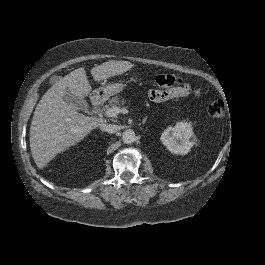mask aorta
I'll return each mask as SVG.
<instances>
[{
    "instance_id": "obj_1",
    "label": "aorta",
    "mask_w": 265,
    "mask_h": 265,
    "mask_svg": "<svg viewBox=\"0 0 265 265\" xmlns=\"http://www.w3.org/2000/svg\"><path fill=\"white\" fill-rule=\"evenodd\" d=\"M122 139L125 143H131L135 141V132L132 129H126L122 133Z\"/></svg>"
}]
</instances>
